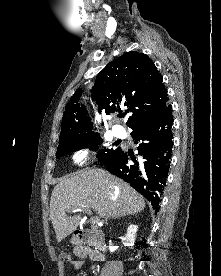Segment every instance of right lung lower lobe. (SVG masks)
<instances>
[{
	"label": "right lung lower lobe",
	"instance_id": "right-lung-lower-lobe-1",
	"mask_svg": "<svg viewBox=\"0 0 221 276\" xmlns=\"http://www.w3.org/2000/svg\"><path fill=\"white\" fill-rule=\"evenodd\" d=\"M172 125V107L168 105L156 117L131 127V136L136 144L139 143L138 161L121 149L111 160L102 164L145 196L155 212L159 211L172 156ZM129 157L134 164L128 163Z\"/></svg>",
	"mask_w": 221,
	"mask_h": 276
}]
</instances>
